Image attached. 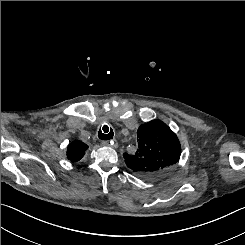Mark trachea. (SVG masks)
<instances>
[{"label": "trachea", "instance_id": "trachea-1", "mask_svg": "<svg viewBox=\"0 0 245 245\" xmlns=\"http://www.w3.org/2000/svg\"><path fill=\"white\" fill-rule=\"evenodd\" d=\"M113 130L109 128L107 125H103L98 132V137L102 140H110L113 138Z\"/></svg>", "mask_w": 245, "mask_h": 245}]
</instances>
